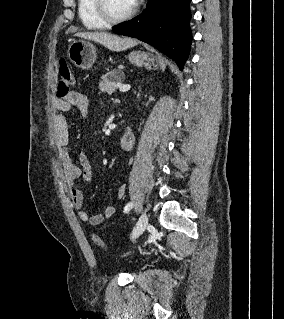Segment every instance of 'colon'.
I'll return each instance as SVG.
<instances>
[{"instance_id":"5ec220e1","label":"colon","mask_w":284,"mask_h":319,"mask_svg":"<svg viewBox=\"0 0 284 319\" xmlns=\"http://www.w3.org/2000/svg\"><path fill=\"white\" fill-rule=\"evenodd\" d=\"M74 82L75 76L73 71L71 70L67 62L61 61L59 64V82L57 87V96L60 98L67 96L70 93L71 87L73 86ZM92 240L97 246L104 249L107 248L105 242L98 235H93Z\"/></svg>"}]
</instances>
